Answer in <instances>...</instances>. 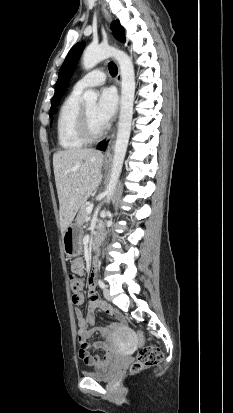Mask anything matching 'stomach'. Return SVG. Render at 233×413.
Here are the masks:
<instances>
[{
	"label": "stomach",
	"mask_w": 233,
	"mask_h": 413,
	"mask_svg": "<svg viewBox=\"0 0 233 413\" xmlns=\"http://www.w3.org/2000/svg\"><path fill=\"white\" fill-rule=\"evenodd\" d=\"M81 237L82 229L76 224H71L64 231L62 237L63 250L68 257L81 254Z\"/></svg>",
	"instance_id": "1"
}]
</instances>
